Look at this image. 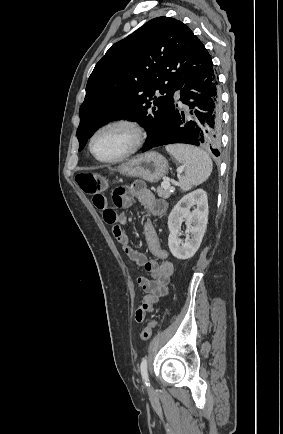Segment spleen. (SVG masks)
<instances>
[{
	"label": "spleen",
	"instance_id": "spleen-1",
	"mask_svg": "<svg viewBox=\"0 0 283 434\" xmlns=\"http://www.w3.org/2000/svg\"><path fill=\"white\" fill-rule=\"evenodd\" d=\"M166 150L185 167V175L179 179L183 191L206 181L212 172V160L201 149L190 145H169Z\"/></svg>",
	"mask_w": 283,
	"mask_h": 434
}]
</instances>
